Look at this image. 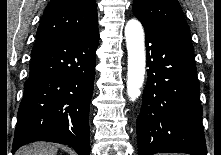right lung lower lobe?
<instances>
[{
	"label": "right lung lower lobe",
	"mask_w": 221,
	"mask_h": 155,
	"mask_svg": "<svg viewBox=\"0 0 221 155\" xmlns=\"http://www.w3.org/2000/svg\"><path fill=\"white\" fill-rule=\"evenodd\" d=\"M98 42V27L36 40L18 110L13 153L27 143L49 141L89 155V107Z\"/></svg>",
	"instance_id": "obj_1"
}]
</instances>
